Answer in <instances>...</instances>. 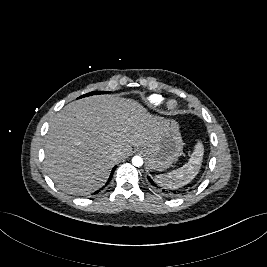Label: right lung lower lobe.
<instances>
[{"instance_id": "obj_1", "label": "right lung lower lobe", "mask_w": 267, "mask_h": 267, "mask_svg": "<svg viewBox=\"0 0 267 267\" xmlns=\"http://www.w3.org/2000/svg\"><path fill=\"white\" fill-rule=\"evenodd\" d=\"M114 170H115V167L113 168V170H112V172H111V175H110V178H109V180L107 181L106 185L110 182L111 177H112V175H113V173H114ZM98 192H99V191H96L95 193H98Z\"/></svg>"}]
</instances>
